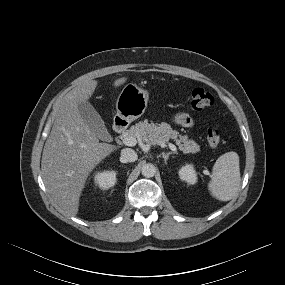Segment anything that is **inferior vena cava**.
Segmentation results:
<instances>
[{"label": "inferior vena cava", "mask_w": 285, "mask_h": 285, "mask_svg": "<svg viewBox=\"0 0 285 285\" xmlns=\"http://www.w3.org/2000/svg\"><path fill=\"white\" fill-rule=\"evenodd\" d=\"M138 158L137 153L131 148H125L121 151L120 160L123 163L134 162Z\"/></svg>", "instance_id": "1"}]
</instances>
